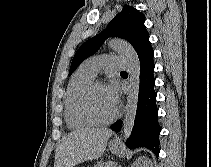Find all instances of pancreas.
<instances>
[{
	"mask_svg": "<svg viewBox=\"0 0 211 167\" xmlns=\"http://www.w3.org/2000/svg\"><path fill=\"white\" fill-rule=\"evenodd\" d=\"M94 167H117L116 164L114 162H99L96 165H94Z\"/></svg>",
	"mask_w": 211,
	"mask_h": 167,
	"instance_id": "cf45deb5",
	"label": "pancreas"
}]
</instances>
